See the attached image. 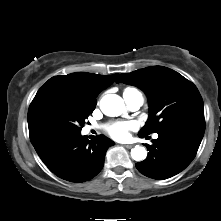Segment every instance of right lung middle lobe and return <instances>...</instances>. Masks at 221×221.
I'll return each instance as SVG.
<instances>
[{
    "label": "right lung middle lobe",
    "mask_w": 221,
    "mask_h": 221,
    "mask_svg": "<svg viewBox=\"0 0 221 221\" xmlns=\"http://www.w3.org/2000/svg\"><path fill=\"white\" fill-rule=\"evenodd\" d=\"M95 106L61 92L35 96L28 110L30 138L44 134H79Z\"/></svg>",
    "instance_id": "1"
}]
</instances>
